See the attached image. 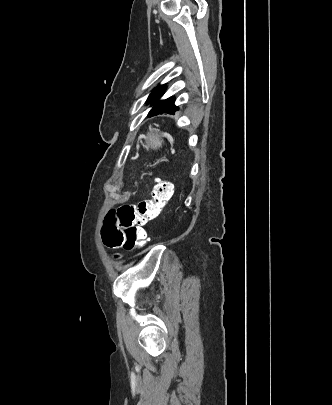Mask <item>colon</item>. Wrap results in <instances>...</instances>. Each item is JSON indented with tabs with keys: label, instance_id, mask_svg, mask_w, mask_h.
<instances>
[{
	"label": "colon",
	"instance_id": "1",
	"mask_svg": "<svg viewBox=\"0 0 332 405\" xmlns=\"http://www.w3.org/2000/svg\"><path fill=\"white\" fill-rule=\"evenodd\" d=\"M172 192L173 185L170 182L157 179L151 199L121 209L113 207L109 220L105 221L103 234H100V243H103L104 249L135 250L144 247L147 243L146 224L159 216ZM115 222H120L122 227H115Z\"/></svg>",
	"mask_w": 332,
	"mask_h": 405
}]
</instances>
